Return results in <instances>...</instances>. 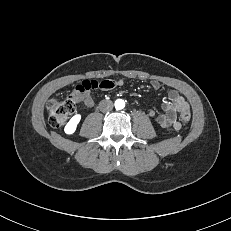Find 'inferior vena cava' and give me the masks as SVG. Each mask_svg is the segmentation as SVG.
Listing matches in <instances>:
<instances>
[{
  "label": "inferior vena cava",
  "instance_id": "inferior-vena-cava-1",
  "mask_svg": "<svg viewBox=\"0 0 231 231\" xmlns=\"http://www.w3.org/2000/svg\"><path fill=\"white\" fill-rule=\"evenodd\" d=\"M99 109L103 113L111 111L113 109L112 101H110V100H102L99 103Z\"/></svg>",
  "mask_w": 231,
  "mask_h": 231
}]
</instances>
